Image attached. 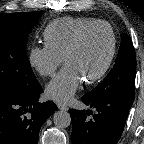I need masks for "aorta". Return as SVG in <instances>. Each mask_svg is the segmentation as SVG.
Segmentation results:
<instances>
[{"mask_svg": "<svg viewBox=\"0 0 144 144\" xmlns=\"http://www.w3.org/2000/svg\"><path fill=\"white\" fill-rule=\"evenodd\" d=\"M53 122L58 128H67L71 124V116L67 111H56Z\"/></svg>", "mask_w": 144, "mask_h": 144, "instance_id": "obj_1", "label": "aorta"}]
</instances>
